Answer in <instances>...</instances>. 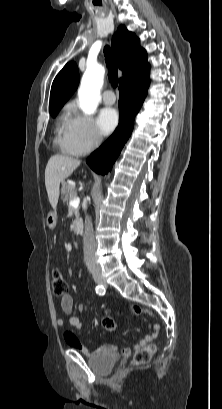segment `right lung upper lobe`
Segmentation results:
<instances>
[{"instance_id": "1", "label": "right lung upper lobe", "mask_w": 222, "mask_h": 409, "mask_svg": "<svg viewBox=\"0 0 222 409\" xmlns=\"http://www.w3.org/2000/svg\"><path fill=\"white\" fill-rule=\"evenodd\" d=\"M112 48L123 71L120 83L149 72L147 53L140 47V40L125 26L120 25L112 37ZM79 83L75 62L67 63L53 81L50 93L49 111L60 110L71 97Z\"/></svg>"}]
</instances>
